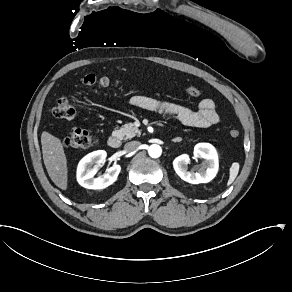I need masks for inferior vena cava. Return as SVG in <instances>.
I'll use <instances>...</instances> for the list:
<instances>
[{
    "label": "inferior vena cava",
    "instance_id": "obj_1",
    "mask_svg": "<svg viewBox=\"0 0 292 292\" xmlns=\"http://www.w3.org/2000/svg\"><path fill=\"white\" fill-rule=\"evenodd\" d=\"M141 145V143L139 141H131L125 144L124 148L126 151H134L136 150L139 146Z\"/></svg>",
    "mask_w": 292,
    "mask_h": 292
}]
</instances>
